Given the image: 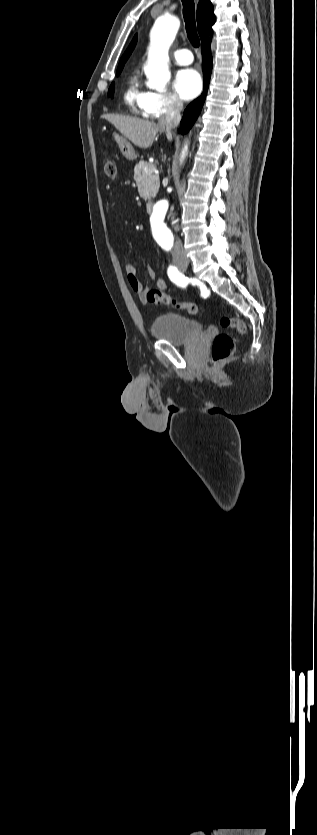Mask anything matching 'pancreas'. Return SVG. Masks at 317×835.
Masks as SVG:
<instances>
[{
	"instance_id": "cf45deb5",
	"label": "pancreas",
	"mask_w": 317,
	"mask_h": 835,
	"mask_svg": "<svg viewBox=\"0 0 317 835\" xmlns=\"http://www.w3.org/2000/svg\"><path fill=\"white\" fill-rule=\"evenodd\" d=\"M152 166V164L141 161L134 168V180L136 181L139 195L145 200L154 198L160 186L159 177L153 174ZM145 168H149L150 170L145 172Z\"/></svg>"
}]
</instances>
